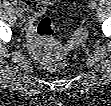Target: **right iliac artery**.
I'll return each mask as SVG.
<instances>
[{
	"instance_id": "obj_1",
	"label": "right iliac artery",
	"mask_w": 111,
	"mask_h": 106,
	"mask_svg": "<svg viewBox=\"0 0 111 106\" xmlns=\"http://www.w3.org/2000/svg\"><path fill=\"white\" fill-rule=\"evenodd\" d=\"M12 3H13V5L16 6V8H18V3H17V1H13Z\"/></svg>"
}]
</instances>
